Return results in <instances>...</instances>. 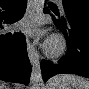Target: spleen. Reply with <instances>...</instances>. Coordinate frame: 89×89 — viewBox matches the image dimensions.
<instances>
[{
  "label": "spleen",
  "instance_id": "3e777b00",
  "mask_svg": "<svg viewBox=\"0 0 89 89\" xmlns=\"http://www.w3.org/2000/svg\"><path fill=\"white\" fill-rule=\"evenodd\" d=\"M56 82H62L65 85L72 86L73 89H89V81L76 75H63L55 78Z\"/></svg>",
  "mask_w": 89,
  "mask_h": 89
}]
</instances>
